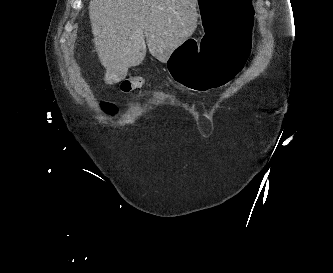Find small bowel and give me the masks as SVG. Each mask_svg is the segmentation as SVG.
Instances as JSON below:
<instances>
[{"label": "small bowel", "instance_id": "small-bowel-1", "mask_svg": "<svg viewBox=\"0 0 333 273\" xmlns=\"http://www.w3.org/2000/svg\"><path fill=\"white\" fill-rule=\"evenodd\" d=\"M142 83H141V81L140 80H136L135 82H134V85H136V86H140Z\"/></svg>", "mask_w": 333, "mask_h": 273}]
</instances>
